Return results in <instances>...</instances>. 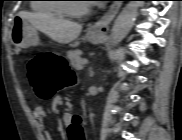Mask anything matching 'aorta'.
Listing matches in <instances>:
<instances>
[{"instance_id": "obj_1", "label": "aorta", "mask_w": 182, "mask_h": 140, "mask_svg": "<svg viewBox=\"0 0 182 140\" xmlns=\"http://www.w3.org/2000/svg\"><path fill=\"white\" fill-rule=\"evenodd\" d=\"M139 5V1H129L116 18L110 34L112 46L118 45L133 27Z\"/></svg>"}]
</instances>
